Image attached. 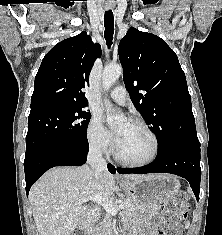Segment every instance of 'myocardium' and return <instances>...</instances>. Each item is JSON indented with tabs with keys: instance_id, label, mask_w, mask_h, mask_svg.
<instances>
[{
	"instance_id": "f54148a6",
	"label": "myocardium",
	"mask_w": 222,
	"mask_h": 235,
	"mask_svg": "<svg viewBox=\"0 0 222 235\" xmlns=\"http://www.w3.org/2000/svg\"><path fill=\"white\" fill-rule=\"evenodd\" d=\"M129 123H131V124H133L137 127L142 128L143 130H145L152 137V139L154 141V145H155L154 152H153L152 156L150 158H148L147 160H144V161H131V160H128V159H126L125 157L122 156V154L119 151L118 144L116 143L115 158L119 162H121L122 164H125V165H128V166H133V167H142V166H146V165H149V164L153 163L157 159V157L159 156L160 149H161L160 140H159L157 134L145 122H143L139 119H131L129 121Z\"/></svg>"
}]
</instances>
